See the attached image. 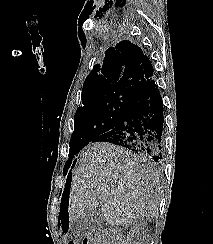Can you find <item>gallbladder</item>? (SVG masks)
I'll return each instance as SVG.
<instances>
[{"instance_id":"1","label":"gallbladder","mask_w":213,"mask_h":244,"mask_svg":"<svg viewBox=\"0 0 213 244\" xmlns=\"http://www.w3.org/2000/svg\"><path fill=\"white\" fill-rule=\"evenodd\" d=\"M107 226V223L99 210L86 212L71 223L72 232L84 237L92 233L100 232Z\"/></svg>"}]
</instances>
